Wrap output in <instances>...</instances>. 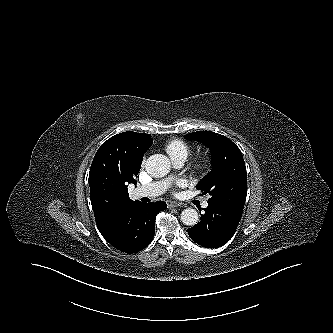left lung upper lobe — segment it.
<instances>
[{
    "mask_svg": "<svg viewBox=\"0 0 333 333\" xmlns=\"http://www.w3.org/2000/svg\"><path fill=\"white\" fill-rule=\"evenodd\" d=\"M208 146L212 155V171L197 185V190L209 194L208 201L243 212L247 195V172L240 149L229 138L210 131L185 135Z\"/></svg>",
    "mask_w": 333,
    "mask_h": 333,
    "instance_id": "obj_1",
    "label": "left lung upper lobe"
}]
</instances>
